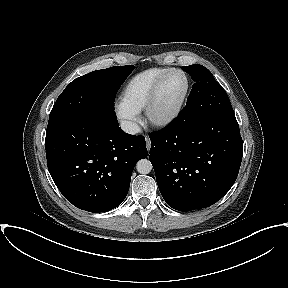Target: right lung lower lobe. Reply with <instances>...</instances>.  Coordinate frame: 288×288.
I'll list each match as a JSON object with an SVG mask.
<instances>
[{"mask_svg": "<svg viewBox=\"0 0 288 288\" xmlns=\"http://www.w3.org/2000/svg\"><path fill=\"white\" fill-rule=\"evenodd\" d=\"M47 166L64 197L77 208L106 212L126 197L135 164L147 157L145 138L118 121L81 118L47 130Z\"/></svg>", "mask_w": 288, "mask_h": 288, "instance_id": "right-lung-lower-lobe-1", "label": "right lung lower lobe"}]
</instances>
